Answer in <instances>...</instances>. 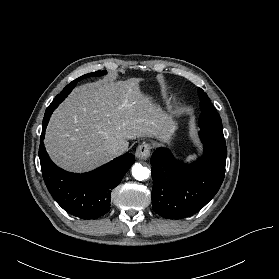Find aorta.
Listing matches in <instances>:
<instances>
[{
	"label": "aorta",
	"mask_w": 279,
	"mask_h": 279,
	"mask_svg": "<svg viewBox=\"0 0 279 279\" xmlns=\"http://www.w3.org/2000/svg\"><path fill=\"white\" fill-rule=\"evenodd\" d=\"M132 175L136 180L143 181L149 178L150 171L141 164L136 163L132 167Z\"/></svg>",
	"instance_id": "aorta-1"
}]
</instances>
